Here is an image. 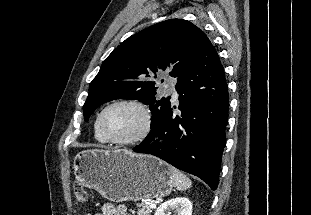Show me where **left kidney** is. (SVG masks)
Wrapping results in <instances>:
<instances>
[{"mask_svg": "<svg viewBox=\"0 0 311 215\" xmlns=\"http://www.w3.org/2000/svg\"><path fill=\"white\" fill-rule=\"evenodd\" d=\"M192 215V203L188 198L178 197L161 204L154 215Z\"/></svg>", "mask_w": 311, "mask_h": 215, "instance_id": "obj_1", "label": "left kidney"}]
</instances>
